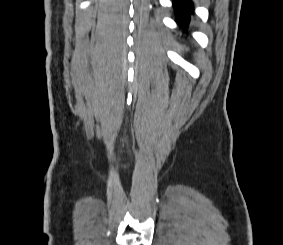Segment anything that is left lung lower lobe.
Here are the masks:
<instances>
[{"instance_id":"obj_1","label":"left lung lower lobe","mask_w":283,"mask_h":245,"mask_svg":"<svg viewBox=\"0 0 283 245\" xmlns=\"http://www.w3.org/2000/svg\"><path fill=\"white\" fill-rule=\"evenodd\" d=\"M173 5L179 24L186 28L190 20V15L193 12L191 0H173Z\"/></svg>"}]
</instances>
